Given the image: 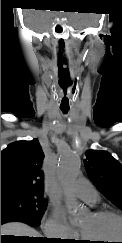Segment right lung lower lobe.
<instances>
[{
	"instance_id": "98d812e1",
	"label": "right lung lower lobe",
	"mask_w": 122,
	"mask_h": 243,
	"mask_svg": "<svg viewBox=\"0 0 122 243\" xmlns=\"http://www.w3.org/2000/svg\"><path fill=\"white\" fill-rule=\"evenodd\" d=\"M11 221L24 222V223H27V224L35 227V226L40 225L41 220H37L32 215L21 212V211L1 208V225L4 223H7V222H11ZM34 242L35 243H53L52 241L45 240L43 238L35 239Z\"/></svg>"
}]
</instances>
